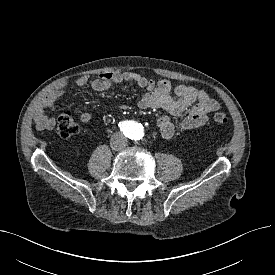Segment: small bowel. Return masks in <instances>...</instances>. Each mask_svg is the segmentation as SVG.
I'll return each instance as SVG.
<instances>
[{"instance_id": "1", "label": "small bowel", "mask_w": 275, "mask_h": 275, "mask_svg": "<svg viewBox=\"0 0 275 275\" xmlns=\"http://www.w3.org/2000/svg\"><path fill=\"white\" fill-rule=\"evenodd\" d=\"M88 77L80 76L75 81V86L85 87L88 85ZM135 83L144 88L146 93L138 102L142 109L159 108L173 116H181L188 111V115L182 120L180 129L189 131L199 128L206 124L208 114L220 108L218 101L210 97L204 91L193 86L180 84L174 88L176 98L171 96L172 85L168 80L155 82L152 79L144 77L136 72H107L92 81L89 85L92 91L100 92L109 89L114 84ZM69 85L66 82L59 83L43 99L42 104L37 109L34 116V123L38 130H52L55 126V119L48 115L53 109L55 102L63 96L68 90ZM80 119L87 123L92 116L87 111L78 112ZM158 127L164 139H171L175 134V126L168 115L158 119Z\"/></svg>"}]
</instances>
